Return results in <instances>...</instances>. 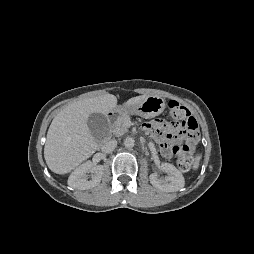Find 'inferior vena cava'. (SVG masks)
Returning <instances> with one entry per match:
<instances>
[{"label": "inferior vena cava", "instance_id": "obj_1", "mask_svg": "<svg viewBox=\"0 0 254 254\" xmlns=\"http://www.w3.org/2000/svg\"><path fill=\"white\" fill-rule=\"evenodd\" d=\"M117 146V141L115 139H111L106 141L103 145H102V152L104 153H111L112 151H114V149Z\"/></svg>", "mask_w": 254, "mask_h": 254}]
</instances>
